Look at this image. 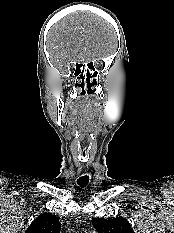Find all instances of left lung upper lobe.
I'll use <instances>...</instances> for the list:
<instances>
[{
    "instance_id": "1",
    "label": "left lung upper lobe",
    "mask_w": 174,
    "mask_h": 233,
    "mask_svg": "<svg viewBox=\"0 0 174 233\" xmlns=\"http://www.w3.org/2000/svg\"><path fill=\"white\" fill-rule=\"evenodd\" d=\"M92 224L98 233H134L128 221L123 217L93 218Z\"/></svg>"
}]
</instances>
